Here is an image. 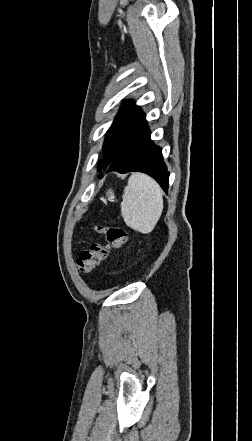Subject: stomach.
<instances>
[{
  "label": "stomach",
  "instance_id": "0dacf381",
  "mask_svg": "<svg viewBox=\"0 0 252 441\" xmlns=\"http://www.w3.org/2000/svg\"><path fill=\"white\" fill-rule=\"evenodd\" d=\"M107 196H108V199H113V198H114V193H113V191H112V190H108V192H107Z\"/></svg>",
  "mask_w": 252,
  "mask_h": 441
}]
</instances>
